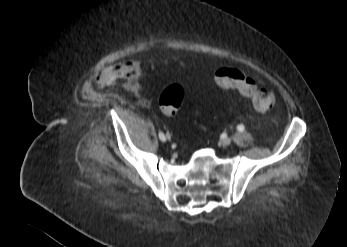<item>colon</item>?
I'll return each instance as SVG.
<instances>
[{"instance_id":"colon-1","label":"colon","mask_w":347,"mask_h":247,"mask_svg":"<svg viewBox=\"0 0 347 247\" xmlns=\"http://www.w3.org/2000/svg\"><path fill=\"white\" fill-rule=\"evenodd\" d=\"M216 83L224 89H236L251 100L254 108L260 112L270 110L275 104V95L268 87H260L250 77L236 68H222L215 74ZM185 97L182 86L173 84L167 87L160 97V107L169 116L175 115Z\"/></svg>"}]
</instances>
